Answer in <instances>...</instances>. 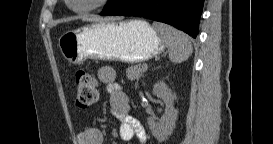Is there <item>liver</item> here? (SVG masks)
Instances as JSON below:
<instances>
[{"mask_svg": "<svg viewBox=\"0 0 273 144\" xmlns=\"http://www.w3.org/2000/svg\"><path fill=\"white\" fill-rule=\"evenodd\" d=\"M93 21L102 22V21H113V20L112 19H93Z\"/></svg>", "mask_w": 273, "mask_h": 144, "instance_id": "6515ba94", "label": "liver"}]
</instances>
